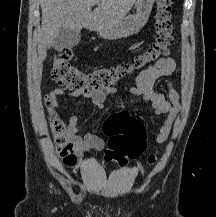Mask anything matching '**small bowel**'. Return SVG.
<instances>
[{
  "mask_svg": "<svg viewBox=\"0 0 216 217\" xmlns=\"http://www.w3.org/2000/svg\"><path fill=\"white\" fill-rule=\"evenodd\" d=\"M176 70V62L171 57L150 64L136 79L135 85L128 92L140 97L149 103L154 115H165V119L161 123L158 131L151 135L152 140L157 143L165 142L172 130L177 114L181 108L180 95L174 88L172 82L168 83L167 97L156 91L154 83L162 77L172 75ZM117 90L113 87L103 88L92 91L73 90L69 96L71 98L84 97L91 101L96 107L103 109L108 96L113 95ZM64 95L63 88L53 89L45 98L49 114L57 115L55 110L60 107V99ZM58 116V115H57ZM79 116L72 115L66 126V135L69 146L74 155L82 158L91 151H100L104 148V141L98 135L99 128H91L84 136L78 133Z\"/></svg>",
  "mask_w": 216,
  "mask_h": 217,
  "instance_id": "c3829d8e",
  "label": "small bowel"
}]
</instances>
